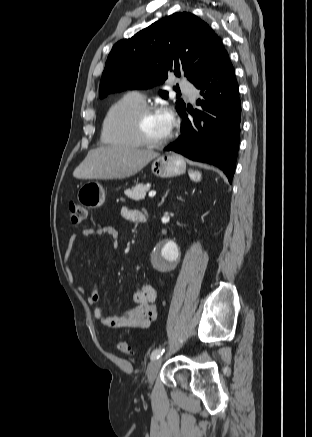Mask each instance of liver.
<instances>
[{"mask_svg": "<svg viewBox=\"0 0 312 437\" xmlns=\"http://www.w3.org/2000/svg\"><path fill=\"white\" fill-rule=\"evenodd\" d=\"M159 154L128 146L110 145L90 150L74 170L79 179H125L142 170Z\"/></svg>", "mask_w": 312, "mask_h": 437, "instance_id": "liver-1", "label": "liver"}]
</instances>
